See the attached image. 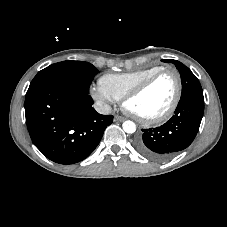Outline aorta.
<instances>
[{
	"label": "aorta",
	"instance_id": "aorta-1",
	"mask_svg": "<svg viewBox=\"0 0 227 227\" xmlns=\"http://www.w3.org/2000/svg\"><path fill=\"white\" fill-rule=\"evenodd\" d=\"M123 127V130L126 132V133H134L136 131V125L134 122L130 121V120H127L123 123L122 125Z\"/></svg>",
	"mask_w": 227,
	"mask_h": 227
}]
</instances>
